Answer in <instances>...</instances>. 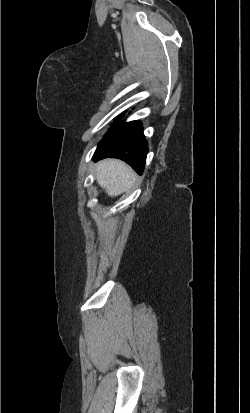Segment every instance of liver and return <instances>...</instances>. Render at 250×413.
I'll return each mask as SVG.
<instances>
[{
  "mask_svg": "<svg viewBox=\"0 0 250 413\" xmlns=\"http://www.w3.org/2000/svg\"><path fill=\"white\" fill-rule=\"evenodd\" d=\"M135 179V172L121 160L105 159L96 166V180L111 197L125 192Z\"/></svg>",
  "mask_w": 250,
  "mask_h": 413,
  "instance_id": "obj_1",
  "label": "liver"
}]
</instances>
